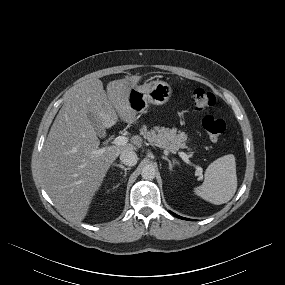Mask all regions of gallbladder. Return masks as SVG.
Returning <instances> with one entry per match:
<instances>
[{"label": "gallbladder", "mask_w": 285, "mask_h": 285, "mask_svg": "<svg viewBox=\"0 0 285 285\" xmlns=\"http://www.w3.org/2000/svg\"><path fill=\"white\" fill-rule=\"evenodd\" d=\"M89 119H90L91 123L94 125V128H95L97 134L100 135V136H104L105 129H102V128L99 127L100 122L97 121V119L93 115H91V114H89Z\"/></svg>", "instance_id": "obj_1"}]
</instances>
